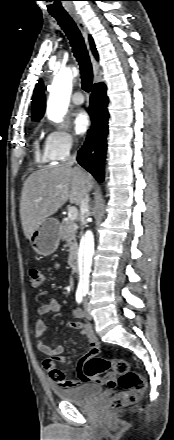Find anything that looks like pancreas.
<instances>
[{
    "label": "pancreas",
    "instance_id": "1",
    "mask_svg": "<svg viewBox=\"0 0 174 440\" xmlns=\"http://www.w3.org/2000/svg\"><path fill=\"white\" fill-rule=\"evenodd\" d=\"M78 225L75 221L64 219L60 225V237L67 242L70 247V257L77 252L76 233Z\"/></svg>",
    "mask_w": 174,
    "mask_h": 440
}]
</instances>
